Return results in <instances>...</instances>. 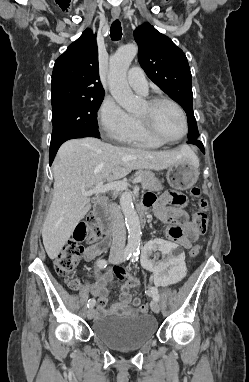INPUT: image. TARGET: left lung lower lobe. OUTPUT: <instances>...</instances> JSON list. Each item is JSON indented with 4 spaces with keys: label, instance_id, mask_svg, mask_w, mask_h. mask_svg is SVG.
I'll list each match as a JSON object with an SVG mask.
<instances>
[{
    "label": "left lung lower lobe",
    "instance_id": "obj_1",
    "mask_svg": "<svg viewBox=\"0 0 249 382\" xmlns=\"http://www.w3.org/2000/svg\"><path fill=\"white\" fill-rule=\"evenodd\" d=\"M187 143L197 145L203 151V153H205L203 144L198 139L188 140Z\"/></svg>",
    "mask_w": 249,
    "mask_h": 382
}]
</instances>
